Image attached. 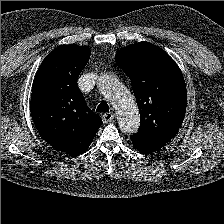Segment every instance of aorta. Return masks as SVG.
<instances>
[{
  "mask_svg": "<svg viewBox=\"0 0 224 224\" xmlns=\"http://www.w3.org/2000/svg\"><path fill=\"white\" fill-rule=\"evenodd\" d=\"M98 86L116 110L118 124L123 133L137 132L140 116L136 102L130 91L113 75L104 74Z\"/></svg>",
  "mask_w": 224,
  "mask_h": 224,
  "instance_id": "aorta-1",
  "label": "aorta"
}]
</instances>
